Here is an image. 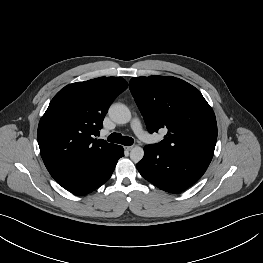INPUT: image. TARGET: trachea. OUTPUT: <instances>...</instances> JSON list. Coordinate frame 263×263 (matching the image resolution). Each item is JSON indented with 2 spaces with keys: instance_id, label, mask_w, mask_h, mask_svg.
Returning a JSON list of instances; mask_svg holds the SVG:
<instances>
[{
  "instance_id": "obj_1",
  "label": "trachea",
  "mask_w": 263,
  "mask_h": 263,
  "mask_svg": "<svg viewBox=\"0 0 263 263\" xmlns=\"http://www.w3.org/2000/svg\"><path fill=\"white\" fill-rule=\"evenodd\" d=\"M108 141L125 146H131L134 143V140L131 137L122 136L120 133H112L111 135H109Z\"/></svg>"
}]
</instances>
